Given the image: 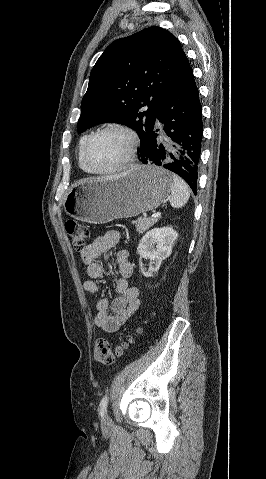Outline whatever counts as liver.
<instances>
[{"instance_id":"liver-1","label":"liver","mask_w":266,"mask_h":479,"mask_svg":"<svg viewBox=\"0 0 266 479\" xmlns=\"http://www.w3.org/2000/svg\"><path fill=\"white\" fill-rule=\"evenodd\" d=\"M101 179H109V178H101ZM100 180V179H99Z\"/></svg>"}]
</instances>
